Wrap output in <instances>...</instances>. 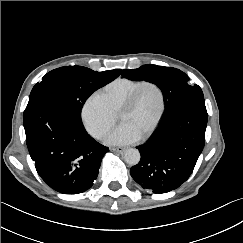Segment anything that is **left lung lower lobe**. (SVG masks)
Masks as SVG:
<instances>
[{
  "mask_svg": "<svg viewBox=\"0 0 243 243\" xmlns=\"http://www.w3.org/2000/svg\"><path fill=\"white\" fill-rule=\"evenodd\" d=\"M207 119L204 97L184 103L165 117L148 142L137 147L141 160L130 170L133 179L159 194L183 184L203 150Z\"/></svg>",
  "mask_w": 243,
  "mask_h": 243,
  "instance_id": "0a47b994",
  "label": "left lung lower lobe"
}]
</instances>
